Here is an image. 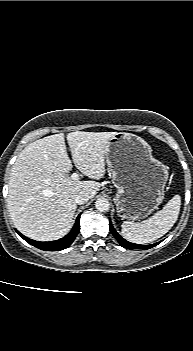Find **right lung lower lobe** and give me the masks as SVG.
Segmentation results:
<instances>
[{
    "instance_id": "98d812e1",
    "label": "right lung lower lobe",
    "mask_w": 193,
    "mask_h": 351,
    "mask_svg": "<svg viewBox=\"0 0 193 351\" xmlns=\"http://www.w3.org/2000/svg\"><path fill=\"white\" fill-rule=\"evenodd\" d=\"M80 229V215L77 217L76 222L74 224L73 229L71 232L65 236L62 239L56 240V241H51V242H39L35 241L32 239H29L22 235L20 232L17 231V233L29 244L35 246L36 248H39L41 250L45 251H58V250H63L66 249L71 245V243L74 241L75 237L77 236L78 232Z\"/></svg>"
}]
</instances>
